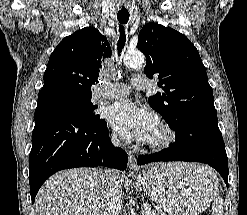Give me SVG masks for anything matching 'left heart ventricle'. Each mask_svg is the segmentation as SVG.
<instances>
[{"label": "left heart ventricle", "mask_w": 247, "mask_h": 215, "mask_svg": "<svg viewBox=\"0 0 247 215\" xmlns=\"http://www.w3.org/2000/svg\"><path fill=\"white\" fill-rule=\"evenodd\" d=\"M158 136H159V130H158V127H157L156 131L153 133V135H152V137L150 138V140H155V139L158 138ZM150 140H149V141H150Z\"/></svg>", "instance_id": "left-heart-ventricle-1"}]
</instances>
